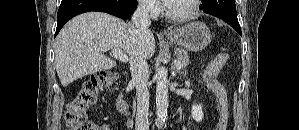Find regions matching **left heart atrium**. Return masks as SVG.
Masks as SVG:
<instances>
[{"mask_svg": "<svg viewBox=\"0 0 299 130\" xmlns=\"http://www.w3.org/2000/svg\"><path fill=\"white\" fill-rule=\"evenodd\" d=\"M167 5H171L173 2H174V0H165L164 1Z\"/></svg>", "mask_w": 299, "mask_h": 130, "instance_id": "obj_1", "label": "left heart atrium"}]
</instances>
